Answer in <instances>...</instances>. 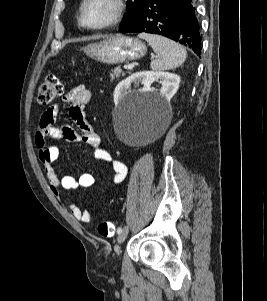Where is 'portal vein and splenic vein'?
<instances>
[{"instance_id": "18ae733b", "label": "portal vein and splenic vein", "mask_w": 267, "mask_h": 301, "mask_svg": "<svg viewBox=\"0 0 267 301\" xmlns=\"http://www.w3.org/2000/svg\"><path fill=\"white\" fill-rule=\"evenodd\" d=\"M133 68V65H125L124 69L126 70H131Z\"/></svg>"}]
</instances>
